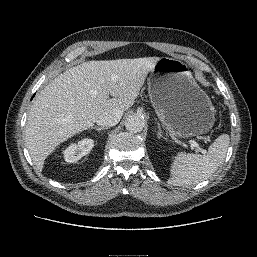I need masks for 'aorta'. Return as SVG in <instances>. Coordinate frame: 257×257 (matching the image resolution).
<instances>
[{"mask_svg": "<svg viewBox=\"0 0 257 257\" xmlns=\"http://www.w3.org/2000/svg\"><path fill=\"white\" fill-rule=\"evenodd\" d=\"M144 118L137 113H132L125 120V127L129 132L138 133L144 128Z\"/></svg>", "mask_w": 257, "mask_h": 257, "instance_id": "aorta-1", "label": "aorta"}]
</instances>
